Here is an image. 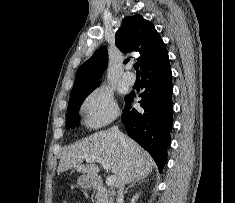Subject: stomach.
<instances>
[{"instance_id":"0dacf381","label":"stomach","mask_w":235,"mask_h":203,"mask_svg":"<svg viewBox=\"0 0 235 203\" xmlns=\"http://www.w3.org/2000/svg\"><path fill=\"white\" fill-rule=\"evenodd\" d=\"M77 184L84 189L91 188L96 184V177L83 174L78 178Z\"/></svg>"}]
</instances>
